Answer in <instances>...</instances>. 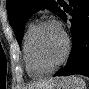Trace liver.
<instances>
[{"label":"liver","mask_w":89,"mask_h":89,"mask_svg":"<svg viewBox=\"0 0 89 89\" xmlns=\"http://www.w3.org/2000/svg\"><path fill=\"white\" fill-rule=\"evenodd\" d=\"M59 81V78H49L35 84H31L28 89H49Z\"/></svg>","instance_id":"6515ba94"}]
</instances>
